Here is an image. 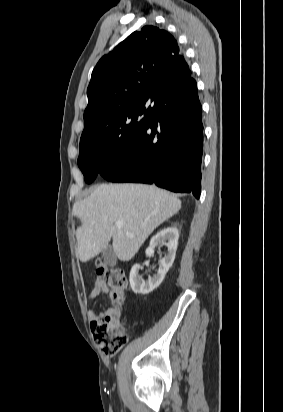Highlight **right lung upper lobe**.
I'll use <instances>...</instances> for the list:
<instances>
[{
	"instance_id": "obj_1",
	"label": "right lung upper lobe",
	"mask_w": 283,
	"mask_h": 412,
	"mask_svg": "<svg viewBox=\"0 0 283 412\" xmlns=\"http://www.w3.org/2000/svg\"><path fill=\"white\" fill-rule=\"evenodd\" d=\"M190 76L177 41L167 31L145 26L132 33L92 72L81 138L104 129L136 104L160 103Z\"/></svg>"
}]
</instances>
